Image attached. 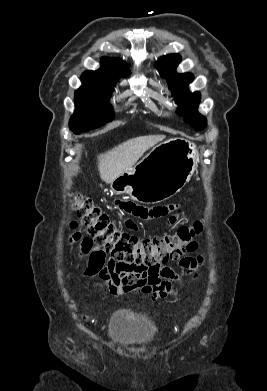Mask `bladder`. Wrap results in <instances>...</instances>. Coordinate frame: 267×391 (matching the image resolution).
<instances>
[{
    "label": "bladder",
    "mask_w": 267,
    "mask_h": 391,
    "mask_svg": "<svg viewBox=\"0 0 267 391\" xmlns=\"http://www.w3.org/2000/svg\"><path fill=\"white\" fill-rule=\"evenodd\" d=\"M108 336L122 346L148 345L154 336V326L132 309L123 308L112 315Z\"/></svg>",
    "instance_id": "obj_1"
}]
</instances>
